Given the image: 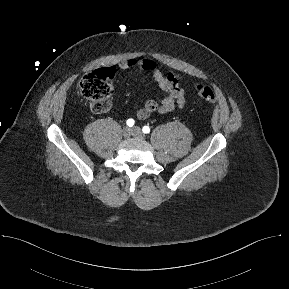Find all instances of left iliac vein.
<instances>
[{"mask_svg":"<svg viewBox=\"0 0 289 289\" xmlns=\"http://www.w3.org/2000/svg\"><path fill=\"white\" fill-rule=\"evenodd\" d=\"M132 135L135 137H138L140 139H143L145 137L144 133L141 131L139 127H133L132 128Z\"/></svg>","mask_w":289,"mask_h":289,"instance_id":"4c4485c4","label":"left iliac vein"}]
</instances>
